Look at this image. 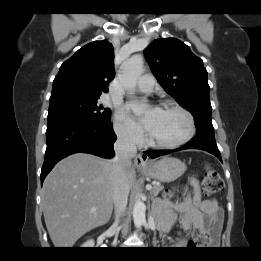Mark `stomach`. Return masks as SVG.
<instances>
[{
  "label": "stomach",
  "mask_w": 261,
  "mask_h": 261,
  "mask_svg": "<svg viewBox=\"0 0 261 261\" xmlns=\"http://www.w3.org/2000/svg\"><path fill=\"white\" fill-rule=\"evenodd\" d=\"M146 176L162 182H171L178 179L186 171V165L178 158L163 157L151 162L149 166L141 169Z\"/></svg>",
  "instance_id": "1"
}]
</instances>
